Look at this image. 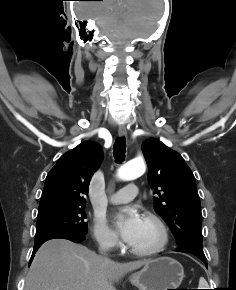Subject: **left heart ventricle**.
Returning a JSON list of instances; mask_svg holds the SVG:
<instances>
[{"label":"left heart ventricle","mask_w":236,"mask_h":290,"mask_svg":"<svg viewBox=\"0 0 236 290\" xmlns=\"http://www.w3.org/2000/svg\"><path fill=\"white\" fill-rule=\"evenodd\" d=\"M158 231L155 226L142 219L141 227L130 246L135 248H149L153 246L158 240Z\"/></svg>","instance_id":"b2bd125f"}]
</instances>
